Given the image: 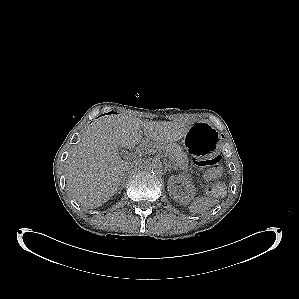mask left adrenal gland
I'll list each match as a JSON object with an SVG mask.
<instances>
[{
	"mask_svg": "<svg viewBox=\"0 0 299 299\" xmlns=\"http://www.w3.org/2000/svg\"><path fill=\"white\" fill-rule=\"evenodd\" d=\"M167 167H168V171L170 172L171 170H176V168L174 167V166H172L171 164L169 165H167Z\"/></svg>",
	"mask_w": 299,
	"mask_h": 299,
	"instance_id": "1",
	"label": "left adrenal gland"
}]
</instances>
